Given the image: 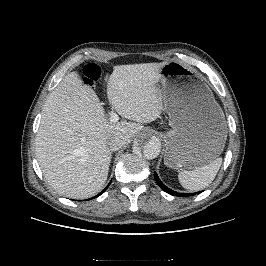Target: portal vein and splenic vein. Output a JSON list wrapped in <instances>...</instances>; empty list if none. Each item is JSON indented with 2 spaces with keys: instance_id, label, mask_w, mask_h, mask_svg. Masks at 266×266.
Masks as SVG:
<instances>
[{
  "instance_id": "18ae733b",
  "label": "portal vein and splenic vein",
  "mask_w": 266,
  "mask_h": 266,
  "mask_svg": "<svg viewBox=\"0 0 266 266\" xmlns=\"http://www.w3.org/2000/svg\"><path fill=\"white\" fill-rule=\"evenodd\" d=\"M119 120V117L116 112L113 110L110 111V121L111 122H117Z\"/></svg>"
}]
</instances>
